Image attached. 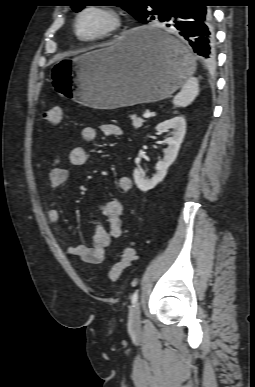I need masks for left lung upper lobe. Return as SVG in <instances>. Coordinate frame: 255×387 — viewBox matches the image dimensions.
<instances>
[{
    "label": "left lung upper lobe",
    "mask_w": 255,
    "mask_h": 387,
    "mask_svg": "<svg viewBox=\"0 0 255 387\" xmlns=\"http://www.w3.org/2000/svg\"><path fill=\"white\" fill-rule=\"evenodd\" d=\"M177 0H104L116 6H121L143 24L159 21L168 11L169 5ZM72 9L80 11L91 0H74Z\"/></svg>",
    "instance_id": "left-lung-upper-lobe-1"
}]
</instances>
